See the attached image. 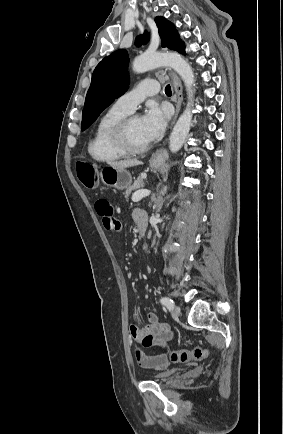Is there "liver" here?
I'll return each mask as SVG.
<instances>
[{"label":"liver","mask_w":283,"mask_h":434,"mask_svg":"<svg viewBox=\"0 0 283 434\" xmlns=\"http://www.w3.org/2000/svg\"><path fill=\"white\" fill-rule=\"evenodd\" d=\"M108 164H109V166L114 167V168L125 169V168H129V167H133V166H138V165L142 164V162L137 160V159H128V160H123V161H112V162H109Z\"/></svg>","instance_id":"6515ba94"}]
</instances>
